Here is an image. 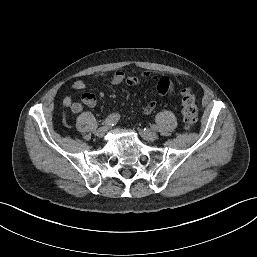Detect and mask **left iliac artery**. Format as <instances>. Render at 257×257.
<instances>
[{
    "instance_id": "obj_1",
    "label": "left iliac artery",
    "mask_w": 257,
    "mask_h": 257,
    "mask_svg": "<svg viewBox=\"0 0 257 257\" xmlns=\"http://www.w3.org/2000/svg\"><path fill=\"white\" fill-rule=\"evenodd\" d=\"M151 128L155 130V129H156V126H155V125H153V126H151Z\"/></svg>"
}]
</instances>
